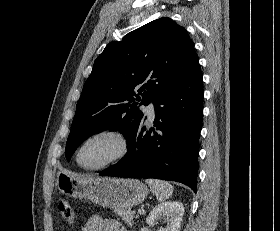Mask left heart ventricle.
<instances>
[{"instance_id":"1","label":"left heart ventricle","mask_w":280,"mask_h":231,"mask_svg":"<svg viewBox=\"0 0 280 231\" xmlns=\"http://www.w3.org/2000/svg\"><path fill=\"white\" fill-rule=\"evenodd\" d=\"M121 142L114 135L104 134L90 139L80 153L85 168L100 167L114 159L121 151Z\"/></svg>"}]
</instances>
